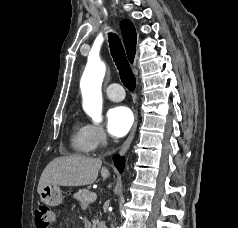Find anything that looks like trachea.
I'll list each match as a JSON object with an SVG mask.
<instances>
[{
  "label": "trachea",
  "mask_w": 238,
  "mask_h": 228,
  "mask_svg": "<svg viewBox=\"0 0 238 228\" xmlns=\"http://www.w3.org/2000/svg\"><path fill=\"white\" fill-rule=\"evenodd\" d=\"M109 45L111 55L119 70L122 83L130 91H134L136 87V79L128 63L122 43L116 34H109Z\"/></svg>",
  "instance_id": "trachea-1"
}]
</instances>
